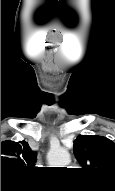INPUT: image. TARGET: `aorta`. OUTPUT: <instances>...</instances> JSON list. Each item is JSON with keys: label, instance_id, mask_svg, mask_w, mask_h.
<instances>
[{"label": "aorta", "instance_id": "aorta-1", "mask_svg": "<svg viewBox=\"0 0 115 191\" xmlns=\"http://www.w3.org/2000/svg\"><path fill=\"white\" fill-rule=\"evenodd\" d=\"M49 162L54 166H66L71 162L70 153L67 150L59 149L51 151L48 155Z\"/></svg>", "mask_w": 115, "mask_h": 191}]
</instances>
